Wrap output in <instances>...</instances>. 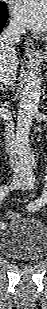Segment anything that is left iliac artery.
<instances>
[{"label": "left iliac artery", "mask_w": 47, "mask_h": 309, "mask_svg": "<svg viewBox=\"0 0 47 309\" xmlns=\"http://www.w3.org/2000/svg\"><path fill=\"white\" fill-rule=\"evenodd\" d=\"M32 166H36V164L32 163ZM30 188H33L30 186ZM46 200H47V197H46V193L42 194L41 198L37 199L35 202H32L28 209L31 210V211H37L39 210L42 206L45 205L46 203Z\"/></svg>", "instance_id": "1"}]
</instances>
